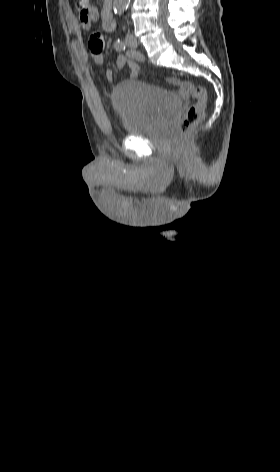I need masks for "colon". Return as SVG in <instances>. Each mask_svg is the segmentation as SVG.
<instances>
[{
	"instance_id": "5ec220e1",
	"label": "colon",
	"mask_w": 280,
	"mask_h": 472,
	"mask_svg": "<svg viewBox=\"0 0 280 472\" xmlns=\"http://www.w3.org/2000/svg\"><path fill=\"white\" fill-rule=\"evenodd\" d=\"M76 8L79 13L80 23L83 28H89L96 18V9L90 0H76ZM193 104L186 110L179 123V135L181 138H187L194 126L201 119L207 94L202 86H197L192 91Z\"/></svg>"
}]
</instances>
